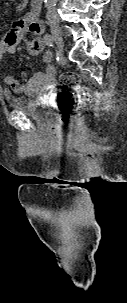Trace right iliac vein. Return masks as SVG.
<instances>
[{"label": "right iliac vein", "instance_id": "63e3f726", "mask_svg": "<svg viewBox=\"0 0 127 303\" xmlns=\"http://www.w3.org/2000/svg\"><path fill=\"white\" fill-rule=\"evenodd\" d=\"M49 25H50L53 39H54L55 43L57 44L59 50L62 51L64 42H63V36H62V31H61L59 22L57 20L51 19L49 21Z\"/></svg>", "mask_w": 127, "mask_h": 303}]
</instances>
